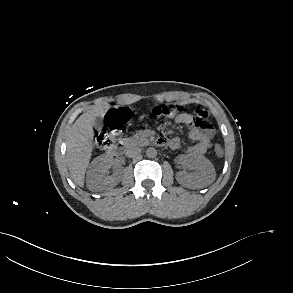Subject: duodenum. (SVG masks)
Here are the masks:
<instances>
[{"label":"duodenum","instance_id":"1","mask_svg":"<svg viewBox=\"0 0 293 293\" xmlns=\"http://www.w3.org/2000/svg\"><path fill=\"white\" fill-rule=\"evenodd\" d=\"M128 149V144L126 141L121 140L110 150V153L112 155H122L124 154Z\"/></svg>","mask_w":293,"mask_h":293}]
</instances>
